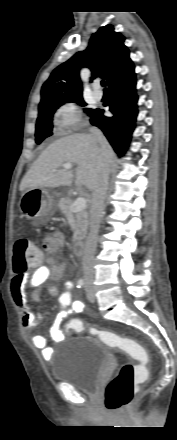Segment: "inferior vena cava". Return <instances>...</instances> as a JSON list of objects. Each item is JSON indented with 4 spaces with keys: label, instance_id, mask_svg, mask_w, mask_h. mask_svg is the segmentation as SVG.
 Segmentation results:
<instances>
[{
    "label": "inferior vena cava",
    "instance_id": "obj_1",
    "mask_svg": "<svg viewBox=\"0 0 177 440\" xmlns=\"http://www.w3.org/2000/svg\"><path fill=\"white\" fill-rule=\"evenodd\" d=\"M90 132L97 138L99 145H102L103 135L98 128H91ZM101 151V150H100ZM109 167L106 161L99 159V173L92 190V201L90 206V229L86 240L82 268L86 281L93 280L94 277V255L96 250V240L100 227L101 216L105 208V198L108 191Z\"/></svg>",
    "mask_w": 177,
    "mask_h": 440
}]
</instances>
